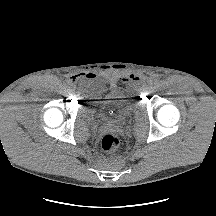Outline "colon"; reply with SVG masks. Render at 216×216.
<instances>
[{"label":"colon","mask_w":216,"mask_h":216,"mask_svg":"<svg viewBox=\"0 0 216 216\" xmlns=\"http://www.w3.org/2000/svg\"><path fill=\"white\" fill-rule=\"evenodd\" d=\"M120 138L113 133L105 134L101 140V147L105 151H114L120 146Z\"/></svg>","instance_id":"obj_1"}]
</instances>
